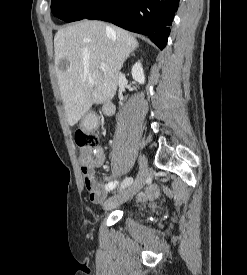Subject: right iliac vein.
Instances as JSON below:
<instances>
[{"label": "right iliac vein", "mask_w": 247, "mask_h": 275, "mask_svg": "<svg viewBox=\"0 0 247 275\" xmlns=\"http://www.w3.org/2000/svg\"><path fill=\"white\" fill-rule=\"evenodd\" d=\"M140 170L135 180L125 190L118 193L116 196L107 200L104 204L105 209H112L127 200H129L136 192H138L144 185L146 178L149 174L147 160L142 156L139 160Z\"/></svg>", "instance_id": "63e3f726"}]
</instances>
